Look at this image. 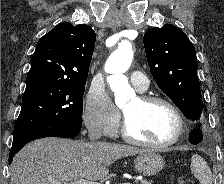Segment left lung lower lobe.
<instances>
[{"mask_svg":"<svg viewBox=\"0 0 224 184\" xmlns=\"http://www.w3.org/2000/svg\"><path fill=\"white\" fill-rule=\"evenodd\" d=\"M202 140V133L200 130H196L193 132V134L190 136V142L192 144H198Z\"/></svg>","mask_w":224,"mask_h":184,"instance_id":"1","label":"left lung lower lobe"}]
</instances>
